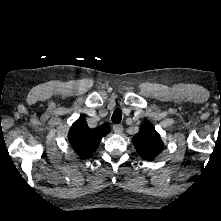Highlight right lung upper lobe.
I'll return each instance as SVG.
<instances>
[{
    "mask_svg": "<svg viewBox=\"0 0 221 221\" xmlns=\"http://www.w3.org/2000/svg\"><path fill=\"white\" fill-rule=\"evenodd\" d=\"M110 129L107 125L90 129L84 118L78 119L70 128L68 138L76 153L82 158H89L96 151L100 140Z\"/></svg>",
    "mask_w": 221,
    "mask_h": 221,
    "instance_id": "obj_1",
    "label": "right lung upper lobe"
}]
</instances>
